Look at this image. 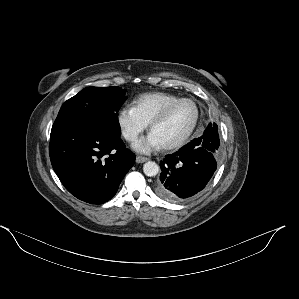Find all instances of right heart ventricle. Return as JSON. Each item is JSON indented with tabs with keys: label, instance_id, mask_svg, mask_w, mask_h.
Here are the masks:
<instances>
[{
	"label": "right heart ventricle",
	"instance_id": "e07e8e85",
	"mask_svg": "<svg viewBox=\"0 0 299 299\" xmlns=\"http://www.w3.org/2000/svg\"><path fill=\"white\" fill-rule=\"evenodd\" d=\"M179 98L167 92H150L136 97L131 107L146 124H149L167 104Z\"/></svg>",
	"mask_w": 299,
	"mask_h": 299
}]
</instances>
